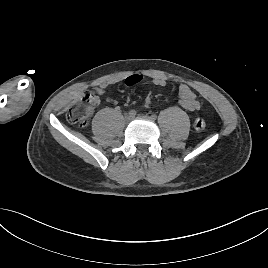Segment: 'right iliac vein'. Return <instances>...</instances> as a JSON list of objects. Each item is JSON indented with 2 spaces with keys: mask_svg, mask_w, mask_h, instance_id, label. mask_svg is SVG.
Masks as SVG:
<instances>
[{
  "mask_svg": "<svg viewBox=\"0 0 268 268\" xmlns=\"http://www.w3.org/2000/svg\"><path fill=\"white\" fill-rule=\"evenodd\" d=\"M133 118H134V117L131 116V115H126V116H125V120H126L127 122L131 121Z\"/></svg>",
  "mask_w": 268,
  "mask_h": 268,
  "instance_id": "obj_1",
  "label": "right iliac vein"
}]
</instances>
